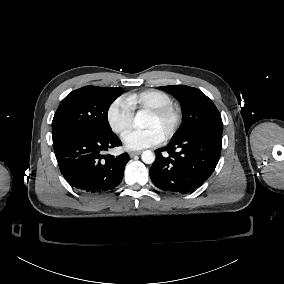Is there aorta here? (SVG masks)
Instances as JSON below:
<instances>
[{"label":"aorta","instance_id":"1","mask_svg":"<svg viewBox=\"0 0 284 284\" xmlns=\"http://www.w3.org/2000/svg\"><path fill=\"white\" fill-rule=\"evenodd\" d=\"M135 125L144 128L147 124V117L143 112H138L135 116ZM142 161L146 164H152L155 161V155L152 151L146 150L141 155Z\"/></svg>","mask_w":284,"mask_h":284}]
</instances>
